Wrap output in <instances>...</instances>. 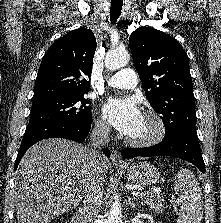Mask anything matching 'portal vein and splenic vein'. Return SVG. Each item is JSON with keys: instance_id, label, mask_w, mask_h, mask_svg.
I'll use <instances>...</instances> for the list:
<instances>
[{"instance_id": "1", "label": "portal vein and splenic vein", "mask_w": 221, "mask_h": 223, "mask_svg": "<svg viewBox=\"0 0 221 223\" xmlns=\"http://www.w3.org/2000/svg\"><path fill=\"white\" fill-rule=\"evenodd\" d=\"M152 193L158 194L159 190H155V192H133L134 195H138L140 197H147L149 195H151Z\"/></svg>"}]
</instances>
